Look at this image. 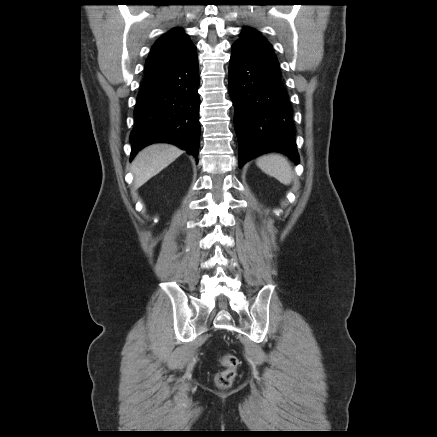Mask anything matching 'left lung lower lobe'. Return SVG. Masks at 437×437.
<instances>
[{
    "label": "left lung lower lobe",
    "instance_id": "0a47b994",
    "mask_svg": "<svg viewBox=\"0 0 437 437\" xmlns=\"http://www.w3.org/2000/svg\"><path fill=\"white\" fill-rule=\"evenodd\" d=\"M228 81L236 113L239 166L271 151L284 153L298 163L292 109L281 73L234 43Z\"/></svg>",
    "mask_w": 437,
    "mask_h": 437
}]
</instances>
